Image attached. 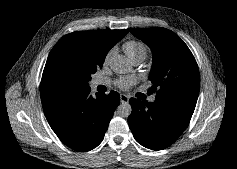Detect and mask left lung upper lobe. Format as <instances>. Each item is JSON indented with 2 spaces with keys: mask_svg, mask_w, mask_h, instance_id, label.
I'll use <instances>...</instances> for the list:
<instances>
[{
  "mask_svg": "<svg viewBox=\"0 0 237 169\" xmlns=\"http://www.w3.org/2000/svg\"><path fill=\"white\" fill-rule=\"evenodd\" d=\"M130 32L152 50L153 64L149 74L156 98H182L197 101L200 75L197 63L187 45L165 28L131 29Z\"/></svg>",
  "mask_w": 237,
  "mask_h": 169,
  "instance_id": "5c2ea615",
  "label": "left lung upper lobe"
}]
</instances>
